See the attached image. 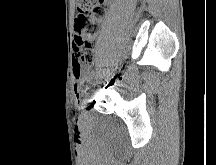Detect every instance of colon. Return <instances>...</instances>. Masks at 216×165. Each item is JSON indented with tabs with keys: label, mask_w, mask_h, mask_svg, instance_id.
I'll return each instance as SVG.
<instances>
[{
	"label": "colon",
	"mask_w": 216,
	"mask_h": 165,
	"mask_svg": "<svg viewBox=\"0 0 216 165\" xmlns=\"http://www.w3.org/2000/svg\"><path fill=\"white\" fill-rule=\"evenodd\" d=\"M107 0H78L74 24V56L81 65L94 61V36L106 14Z\"/></svg>",
	"instance_id": "colon-1"
}]
</instances>
